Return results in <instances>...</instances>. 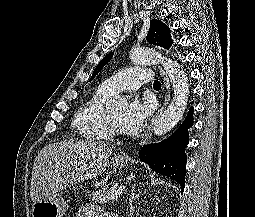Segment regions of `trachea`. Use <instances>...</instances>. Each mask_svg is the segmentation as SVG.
I'll return each instance as SVG.
<instances>
[{
  "label": "trachea",
  "instance_id": "3493384b",
  "mask_svg": "<svg viewBox=\"0 0 255 217\" xmlns=\"http://www.w3.org/2000/svg\"><path fill=\"white\" fill-rule=\"evenodd\" d=\"M153 87H154L155 89H159V88H161V83H160L158 80H155V81H154V84H153Z\"/></svg>",
  "mask_w": 255,
  "mask_h": 217
}]
</instances>
